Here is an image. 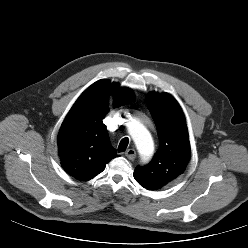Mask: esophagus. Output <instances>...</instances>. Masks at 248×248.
<instances>
[{"label":"esophagus","mask_w":248,"mask_h":248,"mask_svg":"<svg viewBox=\"0 0 248 248\" xmlns=\"http://www.w3.org/2000/svg\"><path fill=\"white\" fill-rule=\"evenodd\" d=\"M125 156L129 159V160H134L136 157V151L134 149H128L125 152Z\"/></svg>","instance_id":"esophagus-1"}]
</instances>
